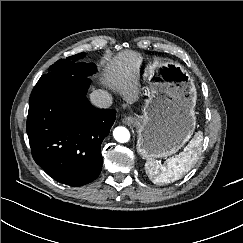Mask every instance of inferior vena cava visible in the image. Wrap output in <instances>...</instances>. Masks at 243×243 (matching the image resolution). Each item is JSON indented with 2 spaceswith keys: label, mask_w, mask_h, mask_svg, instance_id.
Instances as JSON below:
<instances>
[{
  "label": "inferior vena cava",
  "mask_w": 243,
  "mask_h": 243,
  "mask_svg": "<svg viewBox=\"0 0 243 243\" xmlns=\"http://www.w3.org/2000/svg\"><path fill=\"white\" fill-rule=\"evenodd\" d=\"M91 103L98 108H109L113 98L106 90L97 89L90 94Z\"/></svg>",
  "instance_id": "602c4592"
}]
</instances>
